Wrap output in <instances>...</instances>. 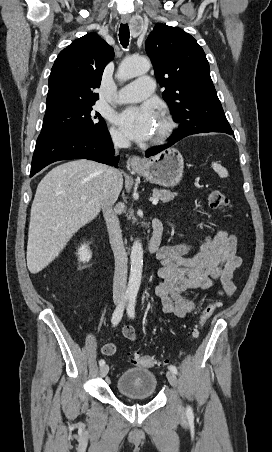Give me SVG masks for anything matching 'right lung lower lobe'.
<instances>
[{
    "label": "right lung lower lobe",
    "instance_id": "right-lung-lower-lobe-1",
    "mask_svg": "<svg viewBox=\"0 0 272 452\" xmlns=\"http://www.w3.org/2000/svg\"><path fill=\"white\" fill-rule=\"evenodd\" d=\"M89 159L117 166L119 157L107 129L96 133L40 134L32 158L30 177L47 165L60 160Z\"/></svg>",
    "mask_w": 272,
    "mask_h": 452
}]
</instances>
